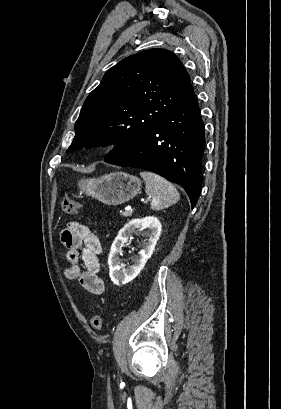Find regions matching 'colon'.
I'll list each match as a JSON object with an SVG mask.
<instances>
[{
    "instance_id": "5ec220e1",
    "label": "colon",
    "mask_w": 281,
    "mask_h": 409,
    "mask_svg": "<svg viewBox=\"0 0 281 409\" xmlns=\"http://www.w3.org/2000/svg\"><path fill=\"white\" fill-rule=\"evenodd\" d=\"M61 207L65 214L75 215L78 212L79 205L75 201L64 197L61 202ZM91 326L95 331L101 330V328L103 327V316L100 313L94 314L91 321Z\"/></svg>"
}]
</instances>
